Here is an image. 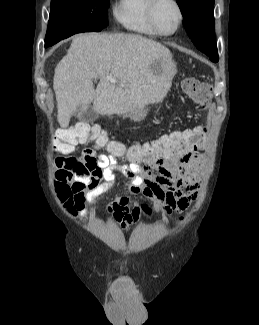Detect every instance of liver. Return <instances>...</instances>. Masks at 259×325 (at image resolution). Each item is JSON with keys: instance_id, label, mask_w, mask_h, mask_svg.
Listing matches in <instances>:
<instances>
[{"instance_id": "obj_1", "label": "liver", "mask_w": 259, "mask_h": 325, "mask_svg": "<svg viewBox=\"0 0 259 325\" xmlns=\"http://www.w3.org/2000/svg\"><path fill=\"white\" fill-rule=\"evenodd\" d=\"M175 73L169 49L154 40L137 34H79L55 68L58 122L67 128L77 109L81 107V115L91 102L101 115L160 102L171 85L167 78ZM96 78L100 81L94 89Z\"/></svg>"}]
</instances>
